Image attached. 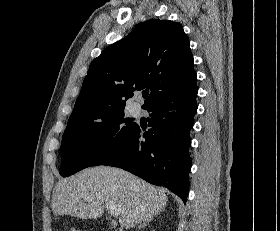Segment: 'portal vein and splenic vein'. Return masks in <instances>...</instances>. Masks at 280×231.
Segmentation results:
<instances>
[{"instance_id": "18ae733b", "label": "portal vein and splenic vein", "mask_w": 280, "mask_h": 231, "mask_svg": "<svg viewBox=\"0 0 280 231\" xmlns=\"http://www.w3.org/2000/svg\"><path fill=\"white\" fill-rule=\"evenodd\" d=\"M108 213H111V215H119L120 207H110Z\"/></svg>"}]
</instances>
